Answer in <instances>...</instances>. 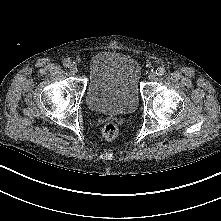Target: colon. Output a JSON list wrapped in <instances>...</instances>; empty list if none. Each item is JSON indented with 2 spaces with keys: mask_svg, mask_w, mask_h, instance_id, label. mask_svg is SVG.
<instances>
[{
  "mask_svg": "<svg viewBox=\"0 0 221 221\" xmlns=\"http://www.w3.org/2000/svg\"><path fill=\"white\" fill-rule=\"evenodd\" d=\"M118 134L119 128L113 122L106 123L102 128V135L107 140L115 139L118 136Z\"/></svg>",
  "mask_w": 221,
  "mask_h": 221,
  "instance_id": "obj_1",
  "label": "colon"
}]
</instances>
